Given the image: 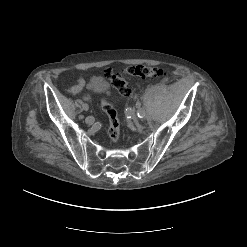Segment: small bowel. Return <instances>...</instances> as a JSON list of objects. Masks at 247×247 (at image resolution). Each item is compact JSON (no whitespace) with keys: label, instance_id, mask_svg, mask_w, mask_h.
Here are the masks:
<instances>
[{"label":"small bowel","instance_id":"1","mask_svg":"<svg viewBox=\"0 0 247 247\" xmlns=\"http://www.w3.org/2000/svg\"><path fill=\"white\" fill-rule=\"evenodd\" d=\"M84 85H85L84 78L79 77L77 83L69 89V92L73 94L79 93L83 89Z\"/></svg>","mask_w":247,"mask_h":247}]
</instances>
